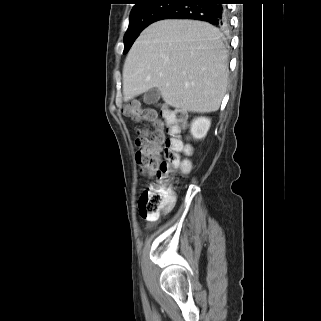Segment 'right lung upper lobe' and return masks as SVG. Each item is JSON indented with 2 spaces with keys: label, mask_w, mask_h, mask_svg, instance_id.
I'll use <instances>...</instances> for the list:
<instances>
[{
  "label": "right lung upper lobe",
  "mask_w": 321,
  "mask_h": 321,
  "mask_svg": "<svg viewBox=\"0 0 321 321\" xmlns=\"http://www.w3.org/2000/svg\"><path fill=\"white\" fill-rule=\"evenodd\" d=\"M135 1H136V3H135L134 6H137V5H141V4H143L145 2H148V1H151V0H135Z\"/></svg>",
  "instance_id": "right-lung-upper-lobe-1"
}]
</instances>
